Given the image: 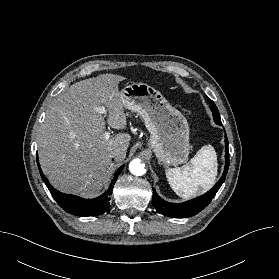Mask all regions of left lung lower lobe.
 Segmentation results:
<instances>
[{
  "instance_id": "0a47b994",
  "label": "left lung lower lobe",
  "mask_w": 279,
  "mask_h": 279,
  "mask_svg": "<svg viewBox=\"0 0 279 279\" xmlns=\"http://www.w3.org/2000/svg\"><path fill=\"white\" fill-rule=\"evenodd\" d=\"M225 169L222 177L216 183V185L204 195L197 197L195 199L189 200L184 203L176 204L169 203L158 196L156 190L153 188L152 203L155 209L163 214L164 216L173 218H183L191 217L203 210L216 195L217 191L225 181V177L229 168V150H228V140L225 134Z\"/></svg>"
}]
</instances>
